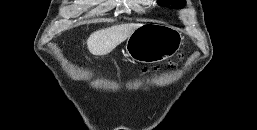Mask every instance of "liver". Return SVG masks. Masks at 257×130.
<instances>
[{"label":"liver","mask_w":257,"mask_h":130,"mask_svg":"<svg viewBox=\"0 0 257 130\" xmlns=\"http://www.w3.org/2000/svg\"><path fill=\"white\" fill-rule=\"evenodd\" d=\"M138 26L121 24L95 31L87 39L88 50L95 56L106 55L124 42Z\"/></svg>","instance_id":"obj_1"}]
</instances>
